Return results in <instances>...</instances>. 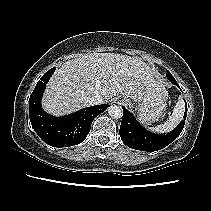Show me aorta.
I'll return each mask as SVG.
<instances>
[{
  "instance_id": "762f6f07",
  "label": "aorta",
  "mask_w": 211,
  "mask_h": 211,
  "mask_svg": "<svg viewBox=\"0 0 211 211\" xmlns=\"http://www.w3.org/2000/svg\"><path fill=\"white\" fill-rule=\"evenodd\" d=\"M108 113L111 117L115 118V119H119L122 117L123 115V111L122 108L118 105H111L108 108Z\"/></svg>"
}]
</instances>
